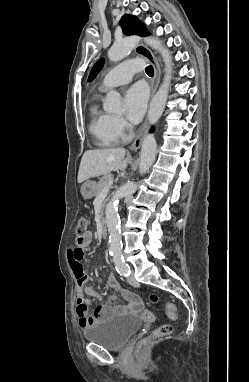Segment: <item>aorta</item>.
I'll return each mask as SVG.
<instances>
[{
  "label": "aorta",
  "mask_w": 249,
  "mask_h": 382,
  "mask_svg": "<svg viewBox=\"0 0 249 382\" xmlns=\"http://www.w3.org/2000/svg\"><path fill=\"white\" fill-rule=\"evenodd\" d=\"M140 39V37L131 36L116 41L108 51L109 60L112 62H117L125 58L133 50L134 46ZM143 40L146 44L159 51L165 63V76L163 83L152 99L148 111V121L150 125H154L160 119L165 109V105L168 99L170 82L172 79L173 63L170 51L166 49L158 39L145 37ZM120 105L121 98L119 93L114 90L109 91L104 101V109L107 112H118ZM156 151L157 144L155 137L153 134L148 133L142 142L139 164L140 174L146 173L152 166L156 158ZM136 189L137 185L135 182L126 183L117 190L112 200L106 206L105 216L109 232V249L116 256H120L122 251L118 202L120 198L132 195Z\"/></svg>",
  "instance_id": "762f6f07"
}]
</instances>
